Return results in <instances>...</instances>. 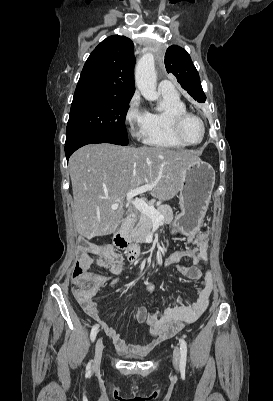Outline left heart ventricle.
<instances>
[{
	"label": "left heart ventricle",
	"mask_w": 273,
	"mask_h": 401,
	"mask_svg": "<svg viewBox=\"0 0 273 401\" xmlns=\"http://www.w3.org/2000/svg\"><path fill=\"white\" fill-rule=\"evenodd\" d=\"M183 138L192 143H196L203 138V127L199 119L196 117H189L185 120L181 127Z\"/></svg>",
	"instance_id": "b2bd125f"
}]
</instances>
